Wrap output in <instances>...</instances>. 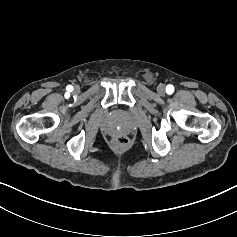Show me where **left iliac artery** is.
<instances>
[{"label":"left iliac artery","instance_id":"1","mask_svg":"<svg viewBox=\"0 0 237 237\" xmlns=\"http://www.w3.org/2000/svg\"><path fill=\"white\" fill-rule=\"evenodd\" d=\"M166 92H167V94H172L174 92L173 85H167Z\"/></svg>","mask_w":237,"mask_h":237}]
</instances>
